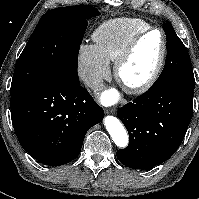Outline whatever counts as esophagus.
I'll return each instance as SVG.
<instances>
[{
  "label": "esophagus",
  "instance_id": "34e87169",
  "mask_svg": "<svg viewBox=\"0 0 199 199\" xmlns=\"http://www.w3.org/2000/svg\"><path fill=\"white\" fill-rule=\"evenodd\" d=\"M106 113L115 114L116 113V109L115 108L106 109Z\"/></svg>",
  "mask_w": 199,
  "mask_h": 199
}]
</instances>
